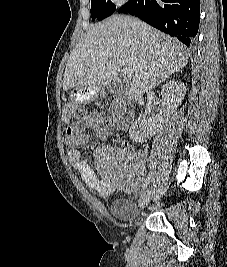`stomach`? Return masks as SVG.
I'll list each match as a JSON object with an SVG mask.
<instances>
[{
	"label": "stomach",
	"instance_id": "0dacf381",
	"mask_svg": "<svg viewBox=\"0 0 227 267\" xmlns=\"http://www.w3.org/2000/svg\"><path fill=\"white\" fill-rule=\"evenodd\" d=\"M98 90L95 87L85 89H76L72 92V99H68V104H81L85 103L86 100H89L97 94Z\"/></svg>",
	"mask_w": 227,
	"mask_h": 267
}]
</instances>
